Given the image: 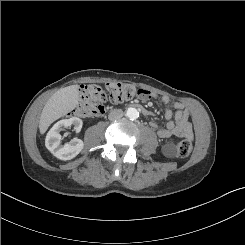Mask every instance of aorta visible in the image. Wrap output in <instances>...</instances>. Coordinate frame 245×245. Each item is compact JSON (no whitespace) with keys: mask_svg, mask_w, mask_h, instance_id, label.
I'll return each instance as SVG.
<instances>
[{"mask_svg":"<svg viewBox=\"0 0 245 245\" xmlns=\"http://www.w3.org/2000/svg\"><path fill=\"white\" fill-rule=\"evenodd\" d=\"M126 116L131 120H135L139 117V112L136 108H128L126 111Z\"/></svg>","mask_w":245,"mask_h":245,"instance_id":"aorta-1","label":"aorta"}]
</instances>
